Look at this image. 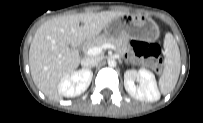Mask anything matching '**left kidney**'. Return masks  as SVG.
<instances>
[{
    "label": "left kidney",
    "instance_id": "1",
    "mask_svg": "<svg viewBox=\"0 0 203 123\" xmlns=\"http://www.w3.org/2000/svg\"><path fill=\"white\" fill-rule=\"evenodd\" d=\"M135 81L139 82V86L135 85ZM124 85L128 93L138 100L154 102L160 98L155 76L150 71H126L124 74Z\"/></svg>",
    "mask_w": 203,
    "mask_h": 123
}]
</instances>
